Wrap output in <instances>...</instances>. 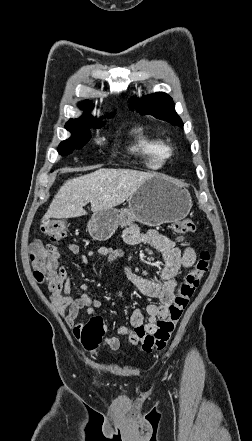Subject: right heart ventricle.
I'll return each instance as SVG.
<instances>
[{"mask_svg": "<svg viewBox=\"0 0 252 441\" xmlns=\"http://www.w3.org/2000/svg\"><path fill=\"white\" fill-rule=\"evenodd\" d=\"M134 141L129 150L144 160L145 166L150 170L162 168L169 156L166 152V143L151 135L146 128L138 126L133 129Z\"/></svg>", "mask_w": 252, "mask_h": 441, "instance_id": "1", "label": "right heart ventricle"}]
</instances>
